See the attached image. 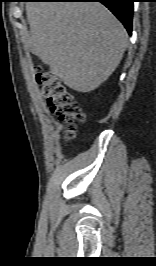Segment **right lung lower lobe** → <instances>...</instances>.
Wrapping results in <instances>:
<instances>
[{
    "label": "right lung lower lobe",
    "instance_id": "1",
    "mask_svg": "<svg viewBox=\"0 0 156 266\" xmlns=\"http://www.w3.org/2000/svg\"><path fill=\"white\" fill-rule=\"evenodd\" d=\"M37 1L101 2L123 23L129 34H131L132 32L134 0H37Z\"/></svg>",
    "mask_w": 156,
    "mask_h": 266
}]
</instances>
